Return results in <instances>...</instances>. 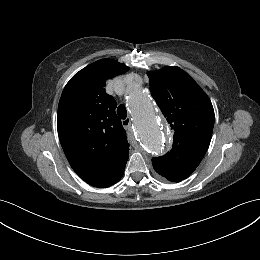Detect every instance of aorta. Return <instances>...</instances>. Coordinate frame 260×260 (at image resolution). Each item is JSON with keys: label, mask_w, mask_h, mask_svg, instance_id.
Returning <instances> with one entry per match:
<instances>
[{"label": "aorta", "mask_w": 260, "mask_h": 260, "mask_svg": "<svg viewBox=\"0 0 260 260\" xmlns=\"http://www.w3.org/2000/svg\"><path fill=\"white\" fill-rule=\"evenodd\" d=\"M127 95L140 143L149 154L162 155L168 147V141L161 129L152 101L135 82L127 85Z\"/></svg>", "instance_id": "obj_1"}]
</instances>
